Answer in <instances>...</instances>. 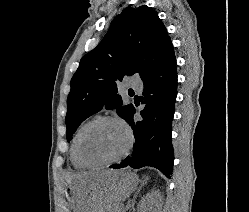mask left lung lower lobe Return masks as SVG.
<instances>
[{
    "instance_id": "obj_1",
    "label": "left lung lower lobe",
    "mask_w": 249,
    "mask_h": 212,
    "mask_svg": "<svg viewBox=\"0 0 249 212\" xmlns=\"http://www.w3.org/2000/svg\"><path fill=\"white\" fill-rule=\"evenodd\" d=\"M143 95L140 101L145 108L141 121H134L135 107L131 105L123 119L132 127L135 137L133 153L118 165L110 168L151 166L170 178L174 151L171 143L172 120L177 96V71L173 45L167 43L159 55L140 76Z\"/></svg>"
}]
</instances>
